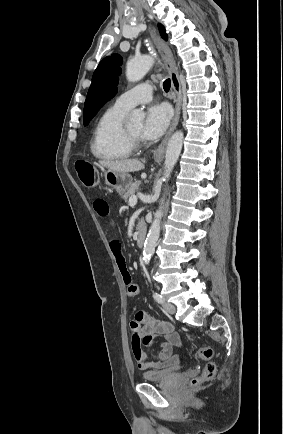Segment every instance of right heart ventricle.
<instances>
[{"label": "right heart ventricle", "mask_w": 283, "mask_h": 434, "mask_svg": "<svg viewBox=\"0 0 283 434\" xmlns=\"http://www.w3.org/2000/svg\"><path fill=\"white\" fill-rule=\"evenodd\" d=\"M128 110L115 105L98 119L90 142L93 156L102 161H117L130 157L134 148L126 138L124 118Z\"/></svg>", "instance_id": "1"}]
</instances>
